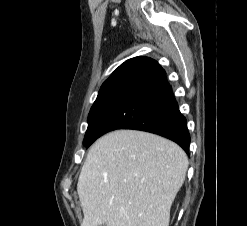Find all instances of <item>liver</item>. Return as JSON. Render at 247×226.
<instances>
[{
	"instance_id": "1",
	"label": "liver",
	"mask_w": 247,
	"mask_h": 226,
	"mask_svg": "<svg viewBox=\"0 0 247 226\" xmlns=\"http://www.w3.org/2000/svg\"><path fill=\"white\" fill-rule=\"evenodd\" d=\"M187 169L186 153L165 138L134 130L104 135L78 179L81 226H168Z\"/></svg>"
}]
</instances>
